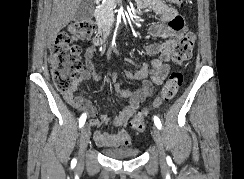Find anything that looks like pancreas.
Masks as SVG:
<instances>
[{
  "mask_svg": "<svg viewBox=\"0 0 244 179\" xmlns=\"http://www.w3.org/2000/svg\"><path fill=\"white\" fill-rule=\"evenodd\" d=\"M114 6L115 0H105L97 14H100L102 20H110V18H112V8H114Z\"/></svg>",
  "mask_w": 244,
  "mask_h": 179,
  "instance_id": "1",
  "label": "pancreas"
}]
</instances>
